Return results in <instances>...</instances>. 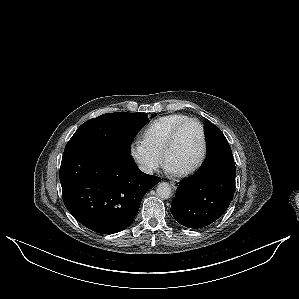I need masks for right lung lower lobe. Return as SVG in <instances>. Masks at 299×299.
Listing matches in <instances>:
<instances>
[{"label":"right lung lower lobe","instance_id":"obj_1","mask_svg":"<svg viewBox=\"0 0 299 299\" xmlns=\"http://www.w3.org/2000/svg\"><path fill=\"white\" fill-rule=\"evenodd\" d=\"M59 177L68 211L101 234L127 228L144 194L160 182L156 176L141 173L131 155L91 143L66 145Z\"/></svg>","mask_w":299,"mask_h":299}]
</instances>
